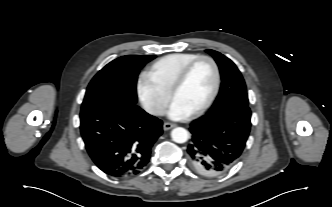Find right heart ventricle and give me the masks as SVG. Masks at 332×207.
<instances>
[{"label": "right heart ventricle", "instance_id": "right-heart-ventricle-1", "mask_svg": "<svg viewBox=\"0 0 332 207\" xmlns=\"http://www.w3.org/2000/svg\"><path fill=\"white\" fill-rule=\"evenodd\" d=\"M196 53H172L161 57L154 62L147 71L159 87L170 92L171 86L181 69L191 60L198 57Z\"/></svg>", "mask_w": 332, "mask_h": 207}]
</instances>
